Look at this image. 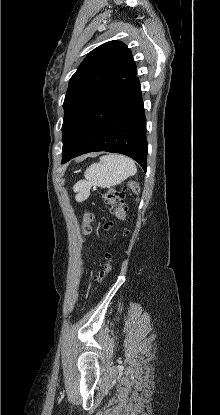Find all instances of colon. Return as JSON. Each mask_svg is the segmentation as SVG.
<instances>
[{"label":"colon","instance_id":"1","mask_svg":"<svg viewBox=\"0 0 220 415\" xmlns=\"http://www.w3.org/2000/svg\"><path fill=\"white\" fill-rule=\"evenodd\" d=\"M128 188L134 193H139V185L136 182H130ZM105 202L109 205L111 214L117 220H125L126 218V209L124 206V199L122 191L118 189H109L104 195ZM95 219V213L93 211L87 210L84 212L81 220V228L85 235L89 234L91 231V223ZM105 228L110 229L112 224L105 223ZM112 270V259L110 258L105 267L96 277L97 282H103L107 275Z\"/></svg>","mask_w":220,"mask_h":415}]
</instances>
